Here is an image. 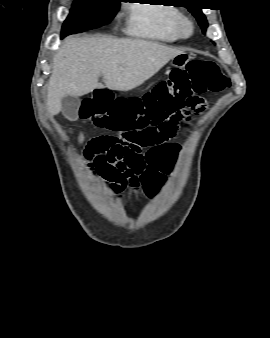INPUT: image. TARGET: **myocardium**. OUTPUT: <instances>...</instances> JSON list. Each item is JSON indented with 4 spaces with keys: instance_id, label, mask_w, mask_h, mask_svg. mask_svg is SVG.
<instances>
[{
    "instance_id": "f54148a6",
    "label": "myocardium",
    "mask_w": 270,
    "mask_h": 338,
    "mask_svg": "<svg viewBox=\"0 0 270 338\" xmlns=\"http://www.w3.org/2000/svg\"><path fill=\"white\" fill-rule=\"evenodd\" d=\"M175 31L180 37H189L193 32V23L191 19L186 15H179L175 23Z\"/></svg>"
}]
</instances>
